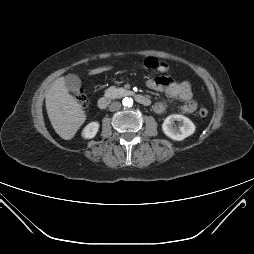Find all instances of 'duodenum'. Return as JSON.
I'll use <instances>...</instances> for the list:
<instances>
[{
  "label": "duodenum",
  "instance_id": "1",
  "mask_svg": "<svg viewBox=\"0 0 254 254\" xmlns=\"http://www.w3.org/2000/svg\"><path fill=\"white\" fill-rule=\"evenodd\" d=\"M131 96L134 97L137 100V102L140 103L141 105L148 106L151 103L150 99L143 94L133 93L131 94ZM110 102L111 98L109 96H102L98 100V107L100 109H106L110 104Z\"/></svg>",
  "mask_w": 254,
  "mask_h": 254
}]
</instances>
